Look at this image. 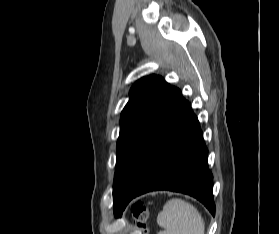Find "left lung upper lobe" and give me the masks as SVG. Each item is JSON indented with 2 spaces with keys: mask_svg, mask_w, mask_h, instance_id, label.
Segmentation results:
<instances>
[{
  "mask_svg": "<svg viewBox=\"0 0 279 234\" xmlns=\"http://www.w3.org/2000/svg\"><path fill=\"white\" fill-rule=\"evenodd\" d=\"M170 85L157 75L138 80L130 90V99L122 111L117 161L113 184L114 214L123 210L121 192L144 134L162 103Z\"/></svg>",
  "mask_w": 279,
  "mask_h": 234,
  "instance_id": "left-lung-upper-lobe-1",
  "label": "left lung upper lobe"
}]
</instances>
